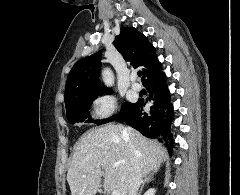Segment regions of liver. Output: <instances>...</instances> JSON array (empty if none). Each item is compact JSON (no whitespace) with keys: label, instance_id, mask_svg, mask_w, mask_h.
Listing matches in <instances>:
<instances>
[{"label":"liver","instance_id":"6515ba94","mask_svg":"<svg viewBox=\"0 0 240 195\" xmlns=\"http://www.w3.org/2000/svg\"><path fill=\"white\" fill-rule=\"evenodd\" d=\"M123 129H127V135H123ZM132 145L137 151L142 177L155 173L163 159L168 157L162 143L148 139L133 127H124L121 123H106L83 133L67 173L71 195H95L102 175L105 191L118 189L121 195H128L130 173L135 169L131 161Z\"/></svg>","mask_w":240,"mask_h":195}]
</instances>
